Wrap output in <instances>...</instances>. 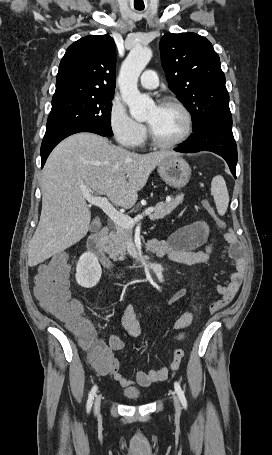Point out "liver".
<instances>
[{
  "mask_svg": "<svg viewBox=\"0 0 272 455\" xmlns=\"http://www.w3.org/2000/svg\"><path fill=\"white\" fill-rule=\"evenodd\" d=\"M177 155L172 151L140 155L92 133L63 140L44 166L42 210L29 244L28 265L36 266L84 238L91 212L83 192L106 195L115 206L130 209L155 167Z\"/></svg>",
  "mask_w": 272,
  "mask_h": 455,
  "instance_id": "1",
  "label": "liver"
}]
</instances>
